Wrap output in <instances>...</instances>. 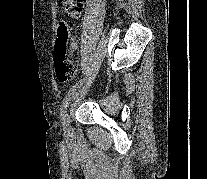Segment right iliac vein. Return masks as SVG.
Here are the masks:
<instances>
[{"label":"right iliac vein","instance_id":"1","mask_svg":"<svg viewBox=\"0 0 207 179\" xmlns=\"http://www.w3.org/2000/svg\"><path fill=\"white\" fill-rule=\"evenodd\" d=\"M69 116L67 115L66 120H65V126L68 127L69 126Z\"/></svg>","mask_w":207,"mask_h":179}]
</instances>
